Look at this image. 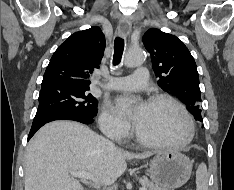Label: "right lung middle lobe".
<instances>
[{"instance_id":"obj_1","label":"right lung middle lobe","mask_w":234,"mask_h":190,"mask_svg":"<svg viewBox=\"0 0 234 190\" xmlns=\"http://www.w3.org/2000/svg\"><path fill=\"white\" fill-rule=\"evenodd\" d=\"M89 87L52 83L41 86L39 107L33 124L57 113L75 114L92 119L97 112V100ZM32 124V125H33Z\"/></svg>"}]
</instances>
